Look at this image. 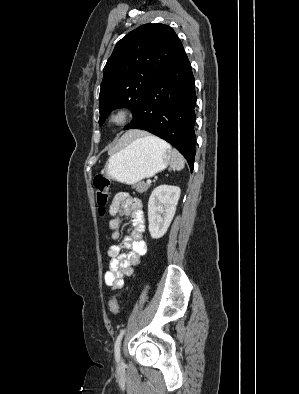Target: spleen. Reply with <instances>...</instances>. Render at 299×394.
<instances>
[{
	"instance_id": "3e777b00",
	"label": "spleen",
	"mask_w": 299,
	"mask_h": 394,
	"mask_svg": "<svg viewBox=\"0 0 299 394\" xmlns=\"http://www.w3.org/2000/svg\"><path fill=\"white\" fill-rule=\"evenodd\" d=\"M147 138H149L153 142L159 143L170 149L171 161H170L169 170H182L184 168L185 159L176 149H171L169 144L154 136H148Z\"/></svg>"
}]
</instances>
